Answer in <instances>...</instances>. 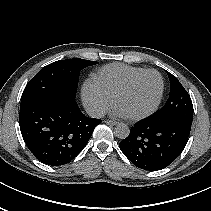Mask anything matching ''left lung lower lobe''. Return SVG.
Instances as JSON below:
<instances>
[{
  "label": "left lung lower lobe",
  "instance_id": "0a47b994",
  "mask_svg": "<svg viewBox=\"0 0 211 211\" xmlns=\"http://www.w3.org/2000/svg\"><path fill=\"white\" fill-rule=\"evenodd\" d=\"M191 125L181 120H144L119 143L121 151L138 168L157 171L169 166L185 148Z\"/></svg>",
  "mask_w": 211,
  "mask_h": 211
}]
</instances>
